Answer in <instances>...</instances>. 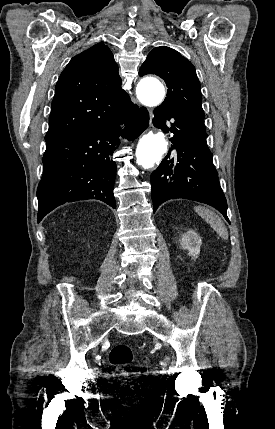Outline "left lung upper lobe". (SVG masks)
I'll return each instance as SVG.
<instances>
[{
  "instance_id": "1",
  "label": "left lung upper lobe",
  "mask_w": 275,
  "mask_h": 429,
  "mask_svg": "<svg viewBox=\"0 0 275 429\" xmlns=\"http://www.w3.org/2000/svg\"><path fill=\"white\" fill-rule=\"evenodd\" d=\"M146 74L160 76L168 87L167 97L161 105L204 126L200 82L189 60L170 47H156L139 70L140 76Z\"/></svg>"
}]
</instances>
